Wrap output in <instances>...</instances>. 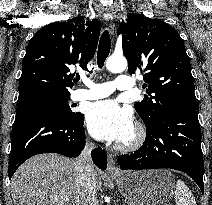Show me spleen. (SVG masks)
I'll list each match as a JSON object with an SVG mask.
<instances>
[{"instance_id": "1", "label": "spleen", "mask_w": 212, "mask_h": 205, "mask_svg": "<svg viewBox=\"0 0 212 205\" xmlns=\"http://www.w3.org/2000/svg\"><path fill=\"white\" fill-rule=\"evenodd\" d=\"M174 199L177 205H197L194 196L182 180L176 183Z\"/></svg>"}]
</instances>
